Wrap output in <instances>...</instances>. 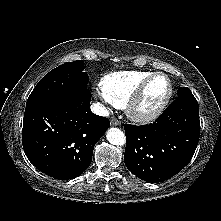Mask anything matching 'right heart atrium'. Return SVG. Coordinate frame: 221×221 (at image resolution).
I'll return each mask as SVG.
<instances>
[{"label":"right heart atrium","instance_id":"obj_1","mask_svg":"<svg viewBox=\"0 0 221 221\" xmlns=\"http://www.w3.org/2000/svg\"><path fill=\"white\" fill-rule=\"evenodd\" d=\"M97 97L99 98V100L105 104V105H112V106H115L112 101L110 99H108L101 91H98L96 93Z\"/></svg>","mask_w":221,"mask_h":221}]
</instances>
